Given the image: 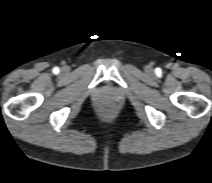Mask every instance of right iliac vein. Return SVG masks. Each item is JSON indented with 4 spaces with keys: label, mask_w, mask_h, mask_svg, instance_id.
<instances>
[{
    "label": "right iliac vein",
    "mask_w": 212,
    "mask_h": 183,
    "mask_svg": "<svg viewBox=\"0 0 212 183\" xmlns=\"http://www.w3.org/2000/svg\"><path fill=\"white\" fill-rule=\"evenodd\" d=\"M62 72L63 73L67 72V69L66 68H62Z\"/></svg>",
    "instance_id": "right-iliac-vein-1"
}]
</instances>
